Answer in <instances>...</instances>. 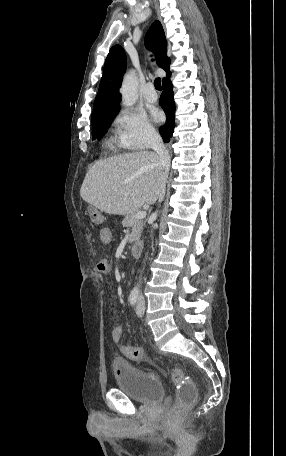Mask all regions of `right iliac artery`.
Listing matches in <instances>:
<instances>
[{
  "label": "right iliac artery",
  "instance_id": "obj_1",
  "mask_svg": "<svg viewBox=\"0 0 286 456\" xmlns=\"http://www.w3.org/2000/svg\"><path fill=\"white\" fill-rule=\"evenodd\" d=\"M138 296H139L138 290L131 291L130 296H129V302L131 305L134 306L137 303Z\"/></svg>",
  "mask_w": 286,
  "mask_h": 456
}]
</instances>
